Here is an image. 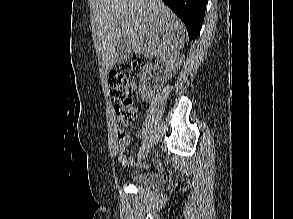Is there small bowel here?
Segmentation results:
<instances>
[{
  "instance_id": "c3829d8e",
  "label": "small bowel",
  "mask_w": 293,
  "mask_h": 219,
  "mask_svg": "<svg viewBox=\"0 0 293 219\" xmlns=\"http://www.w3.org/2000/svg\"><path fill=\"white\" fill-rule=\"evenodd\" d=\"M117 142L119 146V161L122 165H130L133 162V158L128 156L125 152V148L129 144V138L125 132L118 130L117 132Z\"/></svg>"
}]
</instances>
